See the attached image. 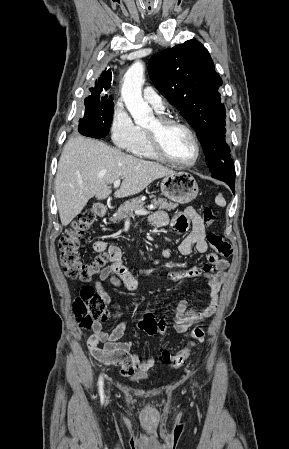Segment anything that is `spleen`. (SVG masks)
<instances>
[{"label":"spleen","instance_id":"3e777b00","mask_svg":"<svg viewBox=\"0 0 289 449\" xmlns=\"http://www.w3.org/2000/svg\"><path fill=\"white\" fill-rule=\"evenodd\" d=\"M215 203H216L218 206H221V207L226 206V201H225V199L223 198V196H222L221 194H219V195L216 197Z\"/></svg>","mask_w":289,"mask_h":449}]
</instances>
